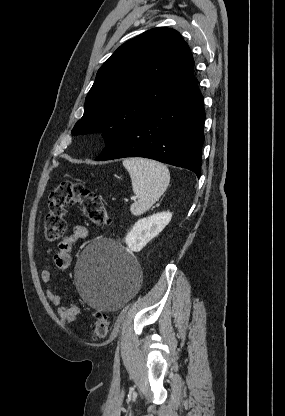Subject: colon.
Returning <instances> with one entry per match:
<instances>
[{
	"label": "colon",
	"mask_w": 285,
	"mask_h": 416,
	"mask_svg": "<svg viewBox=\"0 0 285 416\" xmlns=\"http://www.w3.org/2000/svg\"><path fill=\"white\" fill-rule=\"evenodd\" d=\"M69 205L80 208L83 214L95 225L108 223V212L99 196L80 183L65 181L52 190L48 199V211L44 219V238L47 242L59 240L66 231L65 214ZM111 322L109 317L99 314L92 328L95 340L104 339Z\"/></svg>",
	"instance_id": "1"
}]
</instances>
